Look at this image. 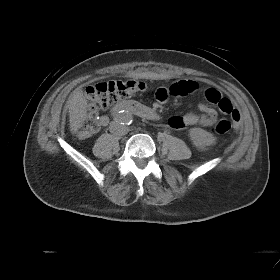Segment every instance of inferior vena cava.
<instances>
[{
	"instance_id": "obj_1",
	"label": "inferior vena cava",
	"mask_w": 280,
	"mask_h": 280,
	"mask_svg": "<svg viewBox=\"0 0 280 280\" xmlns=\"http://www.w3.org/2000/svg\"><path fill=\"white\" fill-rule=\"evenodd\" d=\"M110 132L117 135V136H122L127 134L128 129L126 126L121 125L119 122H111L109 126Z\"/></svg>"
}]
</instances>
